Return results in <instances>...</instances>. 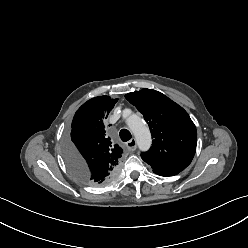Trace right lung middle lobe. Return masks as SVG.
<instances>
[{
  "mask_svg": "<svg viewBox=\"0 0 248 248\" xmlns=\"http://www.w3.org/2000/svg\"><path fill=\"white\" fill-rule=\"evenodd\" d=\"M71 150H70V145L69 142H66L64 145V157H65V161L68 163L69 162V154H70ZM74 174V173H73ZM77 178H79L78 175H75Z\"/></svg>",
  "mask_w": 248,
  "mask_h": 248,
  "instance_id": "right-lung-middle-lobe-1",
  "label": "right lung middle lobe"
}]
</instances>
